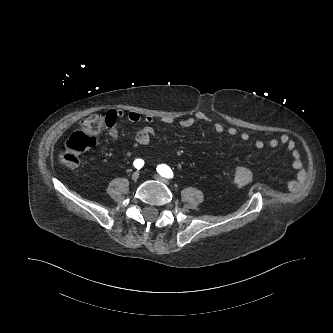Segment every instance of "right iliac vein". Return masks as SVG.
Here are the masks:
<instances>
[{
  "instance_id": "1",
  "label": "right iliac vein",
  "mask_w": 333,
  "mask_h": 333,
  "mask_svg": "<svg viewBox=\"0 0 333 333\" xmlns=\"http://www.w3.org/2000/svg\"><path fill=\"white\" fill-rule=\"evenodd\" d=\"M139 176H140V173H139L138 171H135V172L132 174V179H133L134 181H136V180H138Z\"/></svg>"
}]
</instances>
